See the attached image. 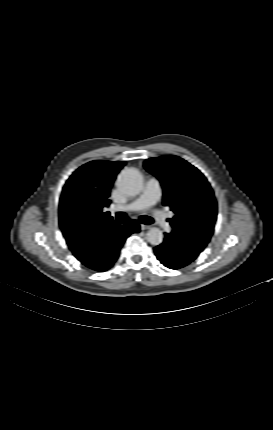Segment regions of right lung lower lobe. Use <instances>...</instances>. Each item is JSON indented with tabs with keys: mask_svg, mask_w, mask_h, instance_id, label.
<instances>
[{
	"mask_svg": "<svg viewBox=\"0 0 273 430\" xmlns=\"http://www.w3.org/2000/svg\"><path fill=\"white\" fill-rule=\"evenodd\" d=\"M140 231L135 220L123 226L102 230L90 240V252L81 262L96 271H106L113 266L126 238Z\"/></svg>",
	"mask_w": 273,
	"mask_h": 430,
	"instance_id": "1",
	"label": "right lung lower lobe"
}]
</instances>
